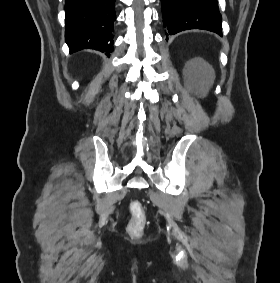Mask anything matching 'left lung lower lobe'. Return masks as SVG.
Instances as JSON below:
<instances>
[{
    "instance_id": "1",
    "label": "left lung lower lobe",
    "mask_w": 280,
    "mask_h": 283,
    "mask_svg": "<svg viewBox=\"0 0 280 283\" xmlns=\"http://www.w3.org/2000/svg\"><path fill=\"white\" fill-rule=\"evenodd\" d=\"M161 3L166 36L188 29L208 30L222 36L217 0H161Z\"/></svg>"
}]
</instances>
